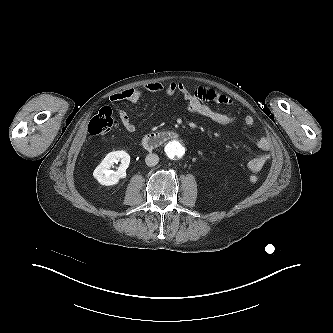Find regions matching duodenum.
Returning a JSON list of instances; mask_svg holds the SVG:
<instances>
[{"label": "duodenum", "mask_w": 333, "mask_h": 333, "mask_svg": "<svg viewBox=\"0 0 333 333\" xmlns=\"http://www.w3.org/2000/svg\"><path fill=\"white\" fill-rule=\"evenodd\" d=\"M175 136L176 134L172 131L149 133L142 139V145L145 149L151 150L174 138Z\"/></svg>", "instance_id": "obj_1"}]
</instances>
